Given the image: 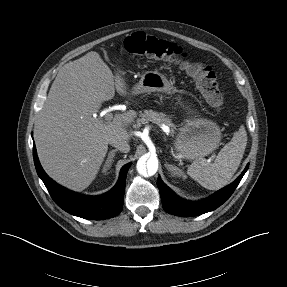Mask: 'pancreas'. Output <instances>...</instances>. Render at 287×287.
Returning <instances> with one entry per match:
<instances>
[{
    "label": "pancreas",
    "instance_id": "pancreas-1",
    "mask_svg": "<svg viewBox=\"0 0 287 287\" xmlns=\"http://www.w3.org/2000/svg\"><path fill=\"white\" fill-rule=\"evenodd\" d=\"M138 122L145 124L148 121L156 123L158 125H166L171 128V133H174L175 125L172 123L171 119L166 117L163 113H158L153 110H145L144 112H140Z\"/></svg>",
    "mask_w": 287,
    "mask_h": 287
}]
</instances>
